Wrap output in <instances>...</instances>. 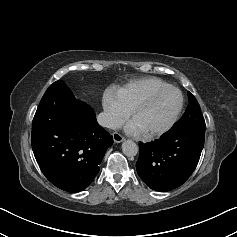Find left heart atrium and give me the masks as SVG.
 <instances>
[{
	"mask_svg": "<svg viewBox=\"0 0 237 237\" xmlns=\"http://www.w3.org/2000/svg\"><path fill=\"white\" fill-rule=\"evenodd\" d=\"M127 130H128V132H130L132 134H137V133L141 132L133 122H131L128 125Z\"/></svg>",
	"mask_w": 237,
	"mask_h": 237,
	"instance_id": "obj_1",
	"label": "left heart atrium"
}]
</instances>
